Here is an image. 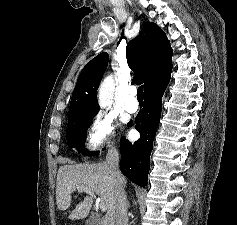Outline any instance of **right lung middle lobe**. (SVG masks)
<instances>
[{
	"label": "right lung middle lobe",
	"mask_w": 237,
	"mask_h": 225,
	"mask_svg": "<svg viewBox=\"0 0 237 225\" xmlns=\"http://www.w3.org/2000/svg\"><path fill=\"white\" fill-rule=\"evenodd\" d=\"M95 115H89L78 111L69 112L66 131L67 144L69 148H76L79 152L85 151L84 143L86 138V130L91 123V119ZM98 153L99 152H93V155H97ZM86 154L90 155L89 152Z\"/></svg>",
	"instance_id": "right-lung-middle-lobe-1"
}]
</instances>
